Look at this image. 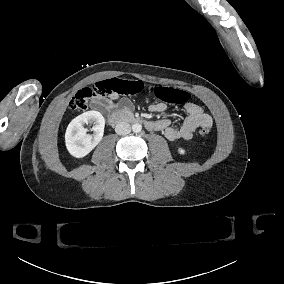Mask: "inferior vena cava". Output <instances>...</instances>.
Wrapping results in <instances>:
<instances>
[{"instance_id":"602c4592","label":"inferior vena cava","mask_w":284,"mask_h":284,"mask_svg":"<svg viewBox=\"0 0 284 284\" xmlns=\"http://www.w3.org/2000/svg\"><path fill=\"white\" fill-rule=\"evenodd\" d=\"M115 132L118 135H126L131 132V126L127 122H120L115 127Z\"/></svg>"}]
</instances>
